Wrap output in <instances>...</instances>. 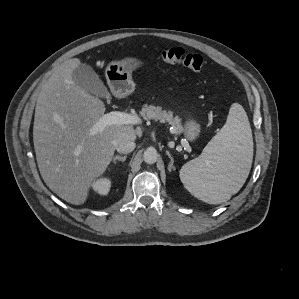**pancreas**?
<instances>
[{
    "instance_id": "cf45deb5",
    "label": "pancreas",
    "mask_w": 299,
    "mask_h": 299,
    "mask_svg": "<svg viewBox=\"0 0 299 299\" xmlns=\"http://www.w3.org/2000/svg\"><path fill=\"white\" fill-rule=\"evenodd\" d=\"M140 115L146 120L169 123L172 126L171 132L174 134H180L184 130L181 119L178 116H174L171 111L162 110L159 106L144 105Z\"/></svg>"
}]
</instances>
